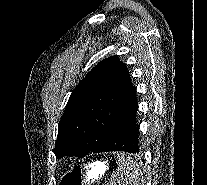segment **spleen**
I'll return each instance as SVG.
<instances>
[{
  "instance_id": "spleen-1",
  "label": "spleen",
  "mask_w": 207,
  "mask_h": 185,
  "mask_svg": "<svg viewBox=\"0 0 207 185\" xmlns=\"http://www.w3.org/2000/svg\"><path fill=\"white\" fill-rule=\"evenodd\" d=\"M142 167L136 163V159L116 158V169L113 178H108L109 185H141Z\"/></svg>"
}]
</instances>
